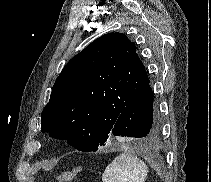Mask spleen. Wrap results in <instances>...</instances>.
Returning a JSON list of instances; mask_svg holds the SVG:
<instances>
[{
	"label": "spleen",
	"instance_id": "1",
	"mask_svg": "<svg viewBox=\"0 0 211 182\" xmlns=\"http://www.w3.org/2000/svg\"><path fill=\"white\" fill-rule=\"evenodd\" d=\"M148 168L137 156L122 153L105 169L103 182H145Z\"/></svg>",
	"mask_w": 211,
	"mask_h": 182
}]
</instances>
